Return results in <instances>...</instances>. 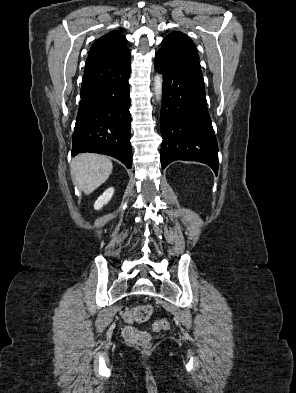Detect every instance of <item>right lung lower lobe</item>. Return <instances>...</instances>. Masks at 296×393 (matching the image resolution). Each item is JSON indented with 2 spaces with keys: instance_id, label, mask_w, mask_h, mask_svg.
I'll use <instances>...</instances> for the list:
<instances>
[{
  "instance_id": "obj_1",
  "label": "right lung lower lobe",
  "mask_w": 296,
  "mask_h": 393,
  "mask_svg": "<svg viewBox=\"0 0 296 393\" xmlns=\"http://www.w3.org/2000/svg\"><path fill=\"white\" fill-rule=\"evenodd\" d=\"M130 51L86 60L72 155H110L131 168Z\"/></svg>"
}]
</instances>
